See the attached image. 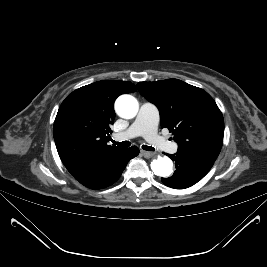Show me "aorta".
Returning <instances> with one entry per match:
<instances>
[{
    "instance_id": "1",
    "label": "aorta",
    "mask_w": 267,
    "mask_h": 267,
    "mask_svg": "<svg viewBox=\"0 0 267 267\" xmlns=\"http://www.w3.org/2000/svg\"><path fill=\"white\" fill-rule=\"evenodd\" d=\"M115 110L117 114L124 119L134 118L139 110V104L135 97L125 94L117 98L115 102ZM173 164L167 157L158 156L151 162V169L155 175L160 177H168L172 174Z\"/></svg>"
}]
</instances>
